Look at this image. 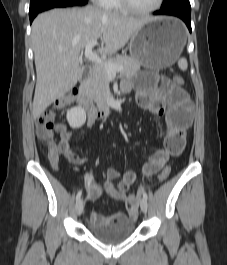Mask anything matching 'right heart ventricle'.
<instances>
[{
  "label": "right heart ventricle",
  "mask_w": 227,
  "mask_h": 265,
  "mask_svg": "<svg viewBox=\"0 0 227 265\" xmlns=\"http://www.w3.org/2000/svg\"><path fill=\"white\" fill-rule=\"evenodd\" d=\"M105 8L111 11H124L125 10L120 0H108Z\"/></svg>",
  "instance_id": "e07e8e85"
}]
</instances>
